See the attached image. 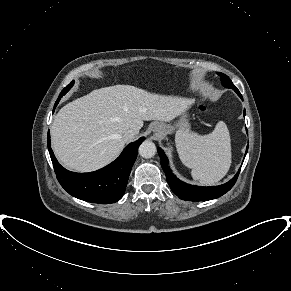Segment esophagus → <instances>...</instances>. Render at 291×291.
Returning <instances> with one entry per match:
<instances>
[{
	"label": "esophagus",
	"mask_w": 291,
	"mask_h": 291,
	"mask_svg": "<svg viewBox=\"0 0 291 291\" xmlns=\"http://www.w3.org/2000/svg\"><path fill=\"white\" fill-rule=\"evenodd\" d=\"M154 138H159L163 134V127L160 124H155L152 128Z\"/></svg>",
	"instance_id": "obj_1"
}]
</instances>
